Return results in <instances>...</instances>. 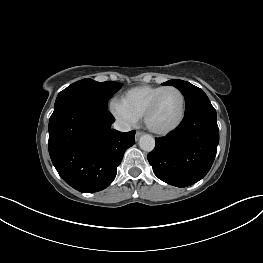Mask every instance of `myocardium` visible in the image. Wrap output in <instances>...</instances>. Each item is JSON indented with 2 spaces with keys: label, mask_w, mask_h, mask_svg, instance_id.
<instances>
[{
  "label": "myocardium",
  "mask_w": 263,
  "mask_h": 263,
  "mask_svg": "<svg viewBox=\"0 0 263 263\" xmlns=\"http://www.w3.org/2000/svg\"><path fill=\"white\" fill-rule=\"evenodd\" d=\"M169 90H175L177 91L182 99V110H181V114L178 118V120L172 124L169 127L166 128H162V129H158V128H154L153 126H151L149 120L150 117L152 115V113L154 112V110L156 109L160 99L162 98V96ZM186 109H187V101H186V96L184 94V92L176 87V86H167L165 87L162 91H160L149 103V105L147 106L144 115H143V120L144 123L146 125V127L153 133L158 134V135H166L169 134L171 132H173L174 130H176L183 122L185 115H186Z\"/></svg>",
  "instance_id": "obj_1"
}]
</instances>
